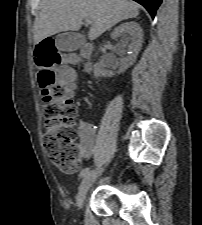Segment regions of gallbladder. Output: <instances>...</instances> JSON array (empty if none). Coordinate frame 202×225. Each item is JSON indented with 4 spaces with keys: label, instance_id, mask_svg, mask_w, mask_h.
Returning <instances> with one entry per match:
<instances>
[{
    "label": "gallbladder",
    "instance_id": "obj_1",
    "mask_svg": "<svg viewBox=\"0 0 202 225\" xmlns=\"http://www.w3.org/2000/svg\"><path fill=\"white\" fill-rule=\"evenodd\" d=\"M84 43L82 34L76 32L60 33L55 38V45L59 51L72 52L80 49Z\"/></svg>",
    "mask_w": 202,
    "mask_h": 225
}]
</instances>
